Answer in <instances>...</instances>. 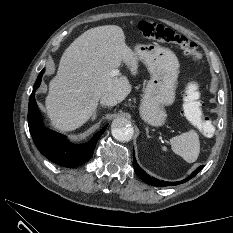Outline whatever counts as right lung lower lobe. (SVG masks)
<instances>
[{
    "label": "right lung lower lobe",
    "instance_id": "98d812e1",
    "mask_svg": "<svg viewBox=\"0 0 233 233\" xmlns=\"http://www.w3.org/2000/svg\"><path fill=\"white\" fill-rule=\"evenodd\" d=\"M44 70L38 75L29 100L28 125L31 136L38 150L50 161L68 168L80 166L92 157L96 142L107 125L97 132L89 142L80 145L71 144L63 135L45 128L41 123V115L34 97Z\"/></svg>",
    "mask_w": 233,
    "mask_h": 233
}]
</instances>
